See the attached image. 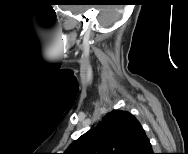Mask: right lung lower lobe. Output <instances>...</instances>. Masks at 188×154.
I'll list each match as a JSON object with an SVG mask.
<instances>
[{
    "label": "right lung lower lobe",
    "mask_w": 188,
    "mask_h": 154,
    "mask_svg": "<svg viewBox=\"0 0 188 154\" xmlns=\"http://www.w3.org/2000/svg\"><path fill=\"white\" fill-rule=\"evenodd\" d=\"M146 154H153L152 149H151V150H149L148 152H146Z\"/></svg>",
    "instance_id": "1"
}]
</instances>
